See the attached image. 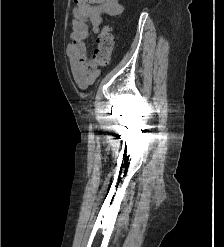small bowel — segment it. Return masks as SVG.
<instances>
[{
    "label": "small bowel",
    "mask_w": 224,
    "mask_h": 247,
    "mask_svg": "<svg viewBox=\"0 0 224 247\" xmlns=\"http://www.w3.org/2000/svg\"><path fill=\"white\" fill-rule=\"evenodd\" d=\"M72 11V31L67 46L70 70L80 88H87L99 76L96 63L89 58L85 40L98 33L103 15L117 16L124 11L119 0H79Z\"/></svg>",
    "instance_id": "obj_1"
}]
</instances>
